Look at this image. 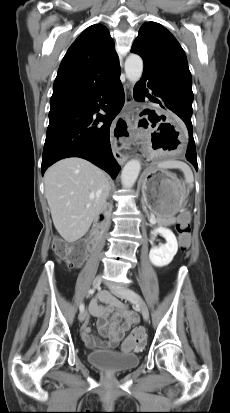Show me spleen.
Here are the masks:
<instances>
[{"instance_id": "3e777b00", "label": "spleen", "mask_w": 230, "mask_h": 413, "mask_svg": "<svg viewBox=\"0 0 230 413\" xmlns=\"http://www.w3.org/2000/svg\"><path fill=\"white\" fill-rule=\"evenodd\" d=\"M161 169H180L184 173L185 182L193 188L194 177L191 168L184 162L177 160H167L158 164Z\"/></svg>"}]
</instances>
